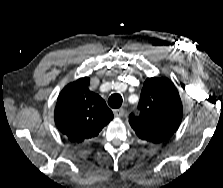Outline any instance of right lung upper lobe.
I'll use <instances>...</instances> for the list:
<instances>
[{"label": "right lung upper lobe", "mask_w": 223, "mask_h": 188, "mask_svg": "<svg viewBox=\"0 0 223 188\" xmlns=\"http://www.w3.org/2000/svg\"><path fill=\"white\" fill-rule=\"evenodd\" d=\"M90 79L80 78L61 91L55 108V123L69 141L79 144L97 136L112 119L106 102L88 88Z\"/></svg>", "instance_id": "right-lung-upper-lobe-1"}]
</instances>
